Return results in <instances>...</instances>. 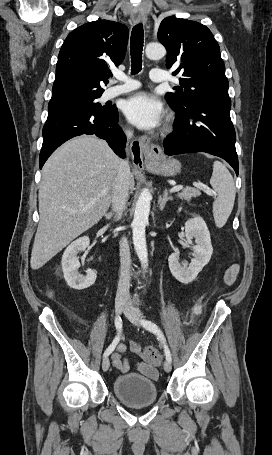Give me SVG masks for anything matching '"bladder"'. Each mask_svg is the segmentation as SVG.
Instances as JSON below:
<instances>
[{
	"instance_id": "1",
	"label": "bladder",
	"mask_w": 272,
	"mask_h": 455,
	"mask_svg": "<svg viewBox=\"0 0 272 455\" xmlns=\"http://www.w3.org/2000/svg\"><path fill=\"white\" fill-rule=\"evenodd\" d=\"M113 392L122 403L131 407L151 405L158 398L155 382L137 373L118 376L113 382Z\"/></svg>"
}]
</instances>
